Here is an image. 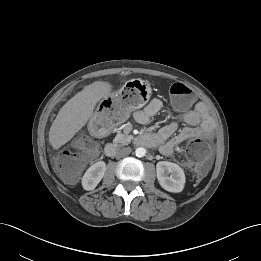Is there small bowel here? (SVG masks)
Masks as SVG:
<instances>
[{
	"label": "small bowel",
	"mask_w": 261,
	"mask_h": 261,
	"mask_svg": "<svg viewBox=\"0 0 261 261\" xmlns=\"http://www.w3.org/2000/svg\"><path fill=\"white\" fill-rule=\"evenodd\" d=\"M163 107L160 99H153L144 109L134 113L137 123L148 125L152 118L157 115ZM183 120L188 124L187 127L177 132L178 126L172 122L162 127L155 135V144L159 146L160 152L169 156L174 152L175 147L181 142L196 137H211L214 131V122L204 112V106L197 104L183 114Z\"/></svg>",
	"instance_id": "small-bowel-1"
}]
</instances>
